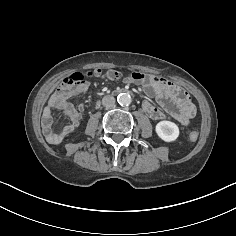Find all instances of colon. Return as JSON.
<instances>
[{
  "label": "colon",
  "mask_w": 236,
  "mask_h": 236,
  "mask_svg": "<svg viewBox=\"0 0 236 236\" xmlns=\"http://www.w3.org/2000/svg\"><path fill=\"white\" fill-rule=\"evenodd\" d=\"M94 74L99 75V76H103V77L110 79V80L118 79L121 76V73L119 71L113 70V69L106 70V71H97L95 73H93V72H89V73L76 72V73L72 74L71 82L72 83H80V82L84 81L86 76H90V75H94ZM144 76L145 75H143L139 72H132L128 75L129 79L134 82L140 81ZM198 135H199L198 131H196V130L191 131L189 134V140L196 141L198 138Z\"/></svg>",
  "instance_id": "1"
}]
</instances>
